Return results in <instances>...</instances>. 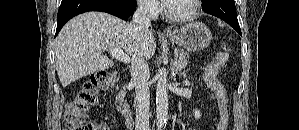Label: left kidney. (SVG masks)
I'll return each mask as SVG.
<instances>
[{"mask_svg":"<svg viewBox=\"0 0 299 130\" xmlns=\"http://www.w3.org/2000/svg\"><path fill=\"white\" fill-rule=\"evenodd\" d=\"M194 116H195V119H199L201 117L200 111L194 110Z\"/></svg>","mask_w":299,"mask_h":130,"instance_id":"1","label":"left kidney"}]
</instances>
